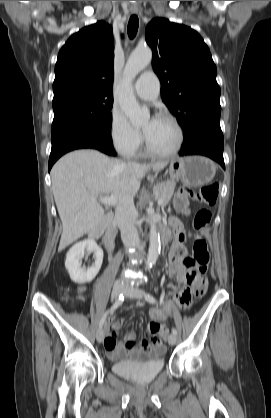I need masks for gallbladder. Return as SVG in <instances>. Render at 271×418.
<instances>
[{"label":"gallbladder","instance_id":"obj_1","mask_svg":"<svg viewBox=\"0 0 271 418\" xmlns=\"http://www.w3.org/2000/svg\"><path fill=\"white\" fill-rule=\"evenodd\" d=\"M103 230L102 225H99L94 231H92V234H98Z\"/></svg>","mask_w":271,"mask_h":418}]
</instances>
